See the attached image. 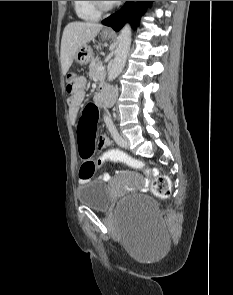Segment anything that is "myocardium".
I'll return each mask as SVG.
<instances>
[{
    "mask_svg": "<svg viewBox=\"0 0 233 295\" xmlns=\"http://www.w3.org/2000/svg\"><path fill=\"white\" fill-rule=\"evenodd\" d=\"M92 5L94 8L100 12V13H105L111 11L115 5L116 2H112L110 4H106L104 1H91Z\"/></svg>",
    "mask_w": 233,
    "mask_h": 295,
    "instance_id": "1",
    "label": "myocardium"
}]
</instances>
